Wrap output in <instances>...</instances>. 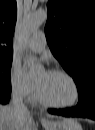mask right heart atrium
<instances>
[{
  "mask_svg": "<svg viewBox=\"0 0 95 130\" xmlns=\"http://www.w3.org/2000/svg\"><path fill=\"white\" fill-rule=\"evenodd\" d=\"M12 93L23 100H30L36 93L35 84L23 73L19 66H14L10 75Z\"/></svg>",
  "mask_w": 95,
  "mask_h": 130,
  "instance_id": "obj_1",
  "label": "right heart atrium"
}]
</instances>
